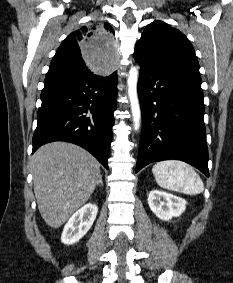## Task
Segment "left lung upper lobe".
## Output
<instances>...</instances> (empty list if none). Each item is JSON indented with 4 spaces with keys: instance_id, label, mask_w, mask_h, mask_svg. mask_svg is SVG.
<instances>
[{
    "instance_id": "obj_1",
    "label": "left lung upper lobe",
    "mask_w": 233,
    "mask_h": 283,
    "mask_svg": "<svg viewBox=\"0 0 233 283\" xmlns=\"http://www.w3.org/2000/svg\"><path fill=\"white\" fill-rule=\"evenodd\" d=\"M134 57L154 65H183L199 69L194 49L179 30L162 21L147 25Z\"/></svg>"
}]
</instances>
